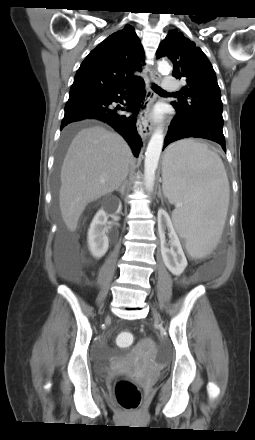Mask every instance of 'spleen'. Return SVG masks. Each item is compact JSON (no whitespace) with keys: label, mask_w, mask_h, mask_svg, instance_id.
<instances>
[{"label":"spleen","mask_w":255,"mask_h":440,"mask_svg":"<svg viewBox=\"0 0 255 440\" xmlns=\"http://www.w3.org/2000/svg\"><path fill=\"white\" fill-rule=\"evenodd\" d=\"M163 171V192L182 206L172 214L175 229L189 254H210L222 235L230 190L222 159L193 140L175 143Z\"/></svg>","instance_id":"1"}]
</instances>
